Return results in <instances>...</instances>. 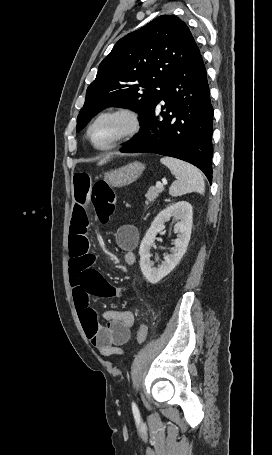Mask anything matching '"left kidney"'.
I'll use <instances>...</instances> for the list:
<instances>
[{
  "instance_id": "1",
  "label": "left kidney",
  "mask_w": 272,
  "mask_h": 455,
  "mask_svg": "<svg viewBox=\"0 0 272 455\" xmlns=\"http://www.w3.org/2000/svg\"><path fill=\"white\" fill-rule=\"evenodd\" d=\"M172 216L179 220L174 226V232L178 234V238L173 241L174 248L172 249V254L167 255L165 261L156 268L150 261V250L154 245L157 233L164 230V223L169 221ZM192 219L193 212L191 204L186 201H180L162 210L153 220L139 248L140 268L148 282L152 284L158 283L180 262L190 241L193 224Z\"/></svg>"
}]
</instances>
